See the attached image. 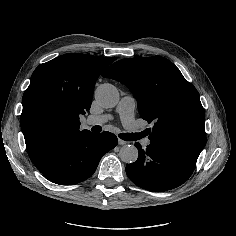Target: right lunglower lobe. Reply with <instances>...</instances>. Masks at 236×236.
<instances>
[{"instance_id": "obj_1", "label": "right lung lower lobe", "mask_w": 236, "mask_h": 236, "mask_svg": "<svg viewBox=\"0 0 236 236\" xmlns=\"http://www.w3.org/2000/svg\"><path fill=\"white\" fill-rule=\"evenodd\" d=\"M116 145L117 137L110 132L95 134L87 131L67 142L39 171L53 183L77 184L88 179L101 157Z\"/></svg>"}]
</instances>
